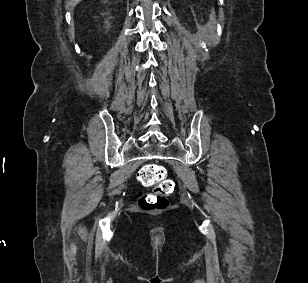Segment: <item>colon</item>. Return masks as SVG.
Wrapping results in <instances>:
<instances>
[{
  "label": "colon",
  "instance_id": "colon-1",
  "mask_svg": "<svg viewBox=\"0 0 308 283\" xmlns=\"http://www.w3.org/2000/svg\"><path fill=\"white\" fill-rule=\"evenodd\" d=\"M137 179L142 186L153 187L152 194L140 199V207L145 210H159L167 206V197L174 192L175 183L167 178V172L163 166L146 164L139 170Z\"/></svg>",
  "mask_w": 308,
  "mask_h": 283
}]
</instances>
